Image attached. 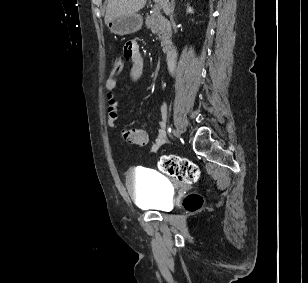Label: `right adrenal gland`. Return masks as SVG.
<instances>
[{"label": "right adrenal gland", "mask_w": 308, "mask_h": 283, "mask_svg": "<svg viewBox=\"0 0 308 283\" xmlns=\"http://www.w3.org/2000/svg\"><path fill=\"white\" fill-rule=\"evenodd\" d=\"M171 7H172V10H174V8H175V0H171Z\"/></svg>", "instance_id": "obj_1"}]
</instances>
